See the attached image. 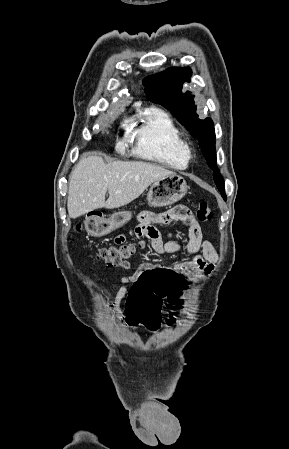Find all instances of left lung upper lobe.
<instances>
[{
	"label": "left lung upper lobe",
	"instance_id": "5c2ea615",
	"mask_svg": "<svg viewBox=\"0 0 289 449\" xmlns=\"http://www.w3.org/2000/svg\"><path fill=\"white\" fill-rule=\"evenodd\" d=\"M190 77L189 68H169L143 80L145 93L151 102L167 108L198 139L203 155L209 161V167L214 170V182L226 199L224 180L216 164L213 121L210 118L200 119L196 114L194 96L189 91L182 93L183 84L189 82Z\"/></svg>",
	"mask_w": 289,
	"mask_h": 449
}]
</instances>
